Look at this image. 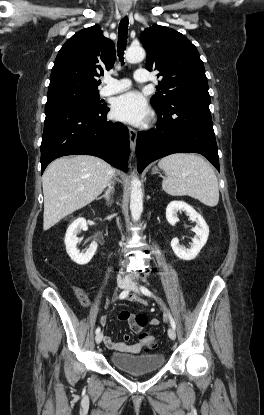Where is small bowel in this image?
Returning a JSON list of instances; mask_svg holds the SVG:
<instances>
[{"label": "small bowel", "instance_id": "obj_1", "mask_svg": "<svg viewBox=\"0 0 264 415\" xmlns=\"http://www.w3.org/2000/svg\"><path fill=\"white\" fill-rule=\"evenodd\" d=\"M128 299L133 303L140 304V305H146V301L142 297H139L137 295H131L129 296ZM118 318L120 321L128 323L131 330H133L134 332L139 331V327L135 325L133 321V317L128 311H122L121 313H119ZM99 321L103 326H105L109 321V316L108 315L101 316ZM157 324H158V321L156 319H152L150 321V325L152 326H155ZM122 338H123V341L119 342V341L113 340L108 335H103V341L105 345L110 349H114L121 353H127V354H133V353H139V352L146 353V351L143 349L142 344L140 343L129 344V341H130L129 334H124Z\"/></svg>", "mask_w": 264, "mask_h": 415}]
</instances>
